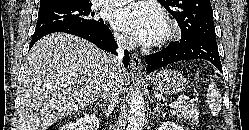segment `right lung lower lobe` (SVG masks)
<instances>
[{
	"label": "right lung lower lobe",
	"instance_id": "obj_1",
	"mask_svg": "<svg viewBox=\"0 0 249 130\" xmlns=\"http://www.w3.org/2000/svg\"><path fill=\"white\" fill-rule=\"evenodd\" d=\"M55 32H64L82 37L92 42L99 48L117 55L116 53V49L118 47L117 43L114 40L112 32L104 23L96 27H90L84 25H63V26L48 28L45 30L35 31L29 49L35 44V42H37L43 36ZM123 63L125 67H127L129 64V55L127 50H125V57L123 58Z\"/></svg>",
	"mask_w": 249,
	"mask_h": 130
}]
</instances>
